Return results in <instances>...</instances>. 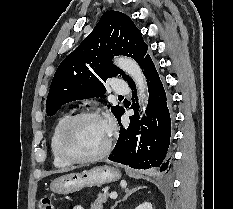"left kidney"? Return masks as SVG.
<instances>
[{
    "mask_svg": "<svg viewBox=\"0 0 233 209\" xmlns=\"http://www.w3.org/2000/svg\"><path fill=\"white\" fill-rule=\"evenodd\" d=\"M135 209H153L152 204L150 202H144L137 206Z\"/></svg>",
    "mask_w": 233,
    "mask_h": 209,
    "instance_id": "1",
    "label": "left kidney"
}]
</instances>
